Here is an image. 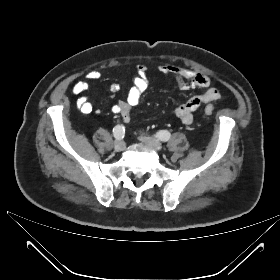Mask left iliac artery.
Here are the masks:
<instances>
[{"label":"left iliac artery","instance_id":"obj_1","mask_svg":"<svg viewBox=\"0 0 280 280\" xmlns=\"http://www.w3.org/2000/svg\"><path fill=\"white\" fill-rule=\"evenodd\" d=\"M156 137L159 138L161 141L166 142L170 139L171 134L167 130H161V131L157 132Z\"/></svg>","mask_w":280,"mask_h":280}]
</instances>
